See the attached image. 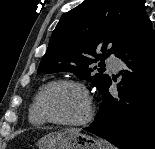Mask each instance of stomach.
<instances>
[{
  "instance_id": "1",
  "label": "stomach",
  "mask_w": 155,
  "mask_h": 149,
  "mask_svg": "<svg viewBox=\"0 0 155 149\" xmlns=\"http://www.w3.org/2000/svg\"><path fill=\"white\" fill-rule=\"evenodd\" d=\"M38 147L39 149H110L101 140L69 129L45 135L38 141Z\"/></svg>"
}]
</instances>
